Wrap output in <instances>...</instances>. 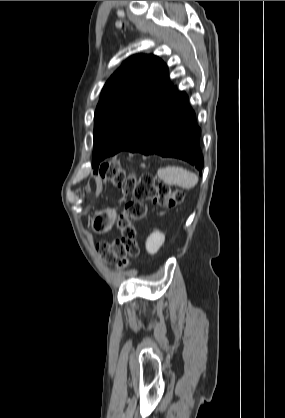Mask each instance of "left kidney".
<instances>
[{
  "label": "left kidney",
  "mask_w": 285,
  "mask_h": 418,
  "mask_svg": "<svg viewBox=\"0 0 285 418\" xmlns=\"http://www.w3.org/2000/svg\"><path fill=\"white\" fill-rule=\"evenodd\" d=\"M165 241V235L159 230L153 231L146 240V250L149 254L154 255L158 252Z\"/></svg>",
  "instance_id": "1"
}]
</instances>
